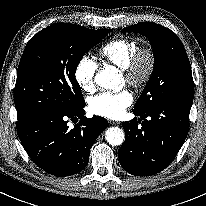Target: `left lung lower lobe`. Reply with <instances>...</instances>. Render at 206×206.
Instances as JSON below:
<instances>
[{"mask_svg":"<svg viewBox=\"0 0 206 206\" xmlns=\"http://www.w3.org/2000/svg\"><path fill=\"white\" fill-rule=\"evenodd\" d=\"M192 103H158L150 109L133 111L140 118L123 122L126 138L119 151L124 170L149 176L164 170L175 158L189 130Z\"/></svg>","mask_w":206,"mask_h":206,"instance_id":"left-lung-lower-lobe-1","label":"left lung lower lobe"}]
</instances>
